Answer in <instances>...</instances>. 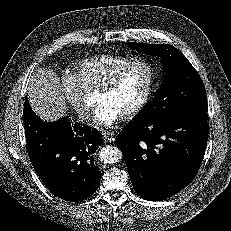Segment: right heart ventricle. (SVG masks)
<instances>
[{
  "label": "right heart ventricle",
  "instance_id": "right-heart-ventricle-1",
  "mask_svg": "<svg viewBox=\"0 0 231 231\" xmlns=\"http://www.w3.org/2000/svg\"><path fill=\"white\" fill-rule=\"evenodd\" d=\"M134 59L124 55L104 54L81 60L73 75L84 90H98L113 74Z\"/></svg>",
  "mask_w": 231,
  "mask_h": 231
}]
</instances>
